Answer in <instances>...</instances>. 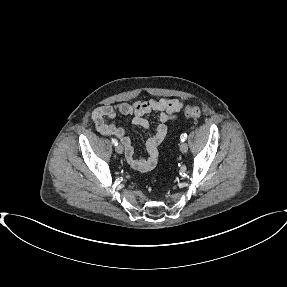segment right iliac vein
<instances>
[{"label": "right iliac vein", "mask_w": 287, "mask_h": 287, "mask_svg": "<svg viewBox=\"0 0 287 287\" xmlns=\"http://www.w3.org/2000/svg\"><path fill=\"white\" fill-rule=\"evenodd\" d=\"M115 150H116V152H117L118 154H122L124 148H123V146H122L121 144H119V145H117V146L115 147Z\"/></svg>", "instance_id": "obj_1"}]
</instances>
